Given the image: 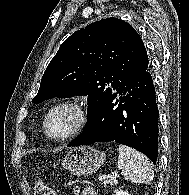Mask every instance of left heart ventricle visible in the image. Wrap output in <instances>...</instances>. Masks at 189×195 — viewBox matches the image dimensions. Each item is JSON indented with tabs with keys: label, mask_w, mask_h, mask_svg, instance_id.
Returning a JSON list of instances; mask_svg holds the SVG:
<instances>
[{
	"label": "left heart ventricle",
	"mask_w": 189,
	"mask_h": 195,
	"mask_svg": "<svg viewBox=\"0 0 189 195\" xmlns=\"http://www.w3.org/2000/svg\"><path fill=\"white\" fill-rule=\"evenodd\" d=\"M79 115L72 107L57 109L48 120L49 133L54 137L68 134L77 124Z\"/></svg>",
	"instance_id": "obj_1"
}]
</instances>
